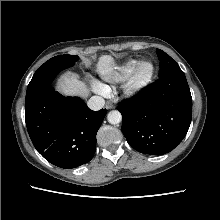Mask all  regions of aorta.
Masks as SVG:
<instances>
[{
    "label": "aorta",
    "instance_id": "762f6f07",
    "mask_svg": "<svg viewBox=\"0 0 220 220\" xmlns=\"http://www.w3.org/2000/svg\"><path fill=\"white\" fill-rule=\"evenodd\" d=\"M107 120L111 124H118L122 120V115L119 111L113 110L108 113Z\"/></svg>",
    "mask_w": 220,
    "mask_h": 220
}]
</instances>
